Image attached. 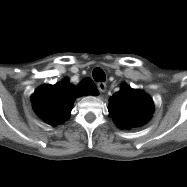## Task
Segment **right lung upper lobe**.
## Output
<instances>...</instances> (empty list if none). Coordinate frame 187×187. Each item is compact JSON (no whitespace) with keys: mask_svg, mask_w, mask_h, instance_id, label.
<instances>
[{"mask_svg":"<svg viewBox=\"0 0 187 187\" xmlns=\"http://www.w3.org/2000/svg\"><path fill=\"white\" fill-rule=\"evenodd\" d=\"M85 94H98L93 82L92 89L86 90L80 84L76 87L64 79L62 83L39 87L31 99L36 113L43 120L56 125L68 119L75 97Z\"/></svg>","mask_w":187,"mask_h":187,"instance_id":"1","label":"right lung upper lobe"}]
</instances>
